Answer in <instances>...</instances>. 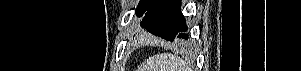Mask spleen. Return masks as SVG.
I'll return each instance as SVG.
<instances>
[{
	"label": "spleen",
	"mask_w": 301,
	"mask_h": 71,
	"mask_svg": "<svg viewBox=\"0 0 301 71\" xmlns=\"http://www.w3.org/2000/svg\"><path fill=\"white\" fill-rule=\"evenodd\" d=\"M139 69V71H188V65L181 57L164 53L150 57Z\"/></svg>",
	"instance_id": "1"
}]
</instances>
